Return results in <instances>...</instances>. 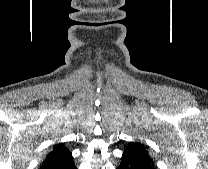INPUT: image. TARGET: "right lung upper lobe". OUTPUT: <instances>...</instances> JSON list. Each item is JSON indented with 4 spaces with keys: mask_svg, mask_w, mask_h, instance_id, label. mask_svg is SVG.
Here are the masks:
<instances>
[{
    "mask_svg": "<svg viewBox=\"0 0 208 169\" xmlns=\"http://www.w3.org/2000/svg\"><path fill=\"white\" fill-rule=\"evenodd\" d=\"M71 158V152L66 147H64L62 143L56 144L54 145L53 150L43 161L40 169H51L52 167L61 164Z\"/></svg>",
    "mask_w": 208,
    "mask_h": 169,
    "instance_id": "1",
    "label": "right lung upper lobe"
}]
</instances>
